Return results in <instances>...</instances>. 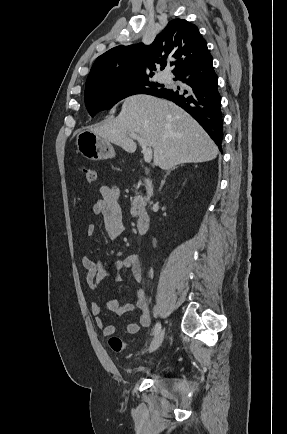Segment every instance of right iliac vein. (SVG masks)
Here are the masks:
<instances>
[{
	"label": "right iliac vein",
	"instance_id": "right-iliac-vein-1",
	"mask_svg": "<svg viewBox=\"0 0 287 434\" xmlns=\"http://www.w3.org/2000/svg\"><path fill=\"white\" fill-rule=\"evenodd\" d=\"M164 335H165V330L162 329L157 335L156 337L153 339L150 347H149V352H153L156 349H158L160 347V345L163 342L164 339Z\"/></svg>",
	"mask_w": 287,
	"mask_h": 434
}]
</instances>
